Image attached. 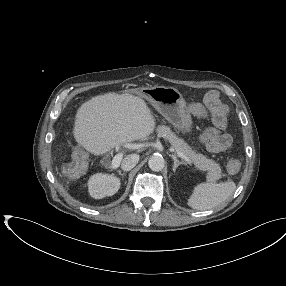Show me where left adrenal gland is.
I'll return each mask as SVG.
<instances>
[{"instance_id":"obj_1","label":"left adrenal gland","mask_w":286,"mask_h":286,"mask_svg":"<svg viewBox=\"0 0 286 286\" xmlns=\"http://www.w3.org/2000/svg\"><path fill=\"white\" fill-rule=\"evenodd\" d=\"M174 160L173 171L175 172L177 167L182 164H186L184 161H179L176 155H170Z\"/></svg>"}]
</instances>
